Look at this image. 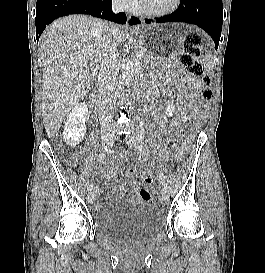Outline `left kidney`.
I'll return each instance as SVG.
<instances>
[{
	"label": "left kidney",
	"mask_w": 265,
	"mask_h": 273,
	"mask_svg": "<svg viewBox=\"0 0 265 273\" xmlns=\"http://www.w3.org/2000/svg\"><path fill=\"white\" fill-rule=\"evenodd\" d=\"M175 109L174 103L173 102H169L167 107L165 108L166 110V115L168 116H172L173 115V111Z\"/></svg>",
	"instance_id": "left-kidney-1"
}]
</instances>
